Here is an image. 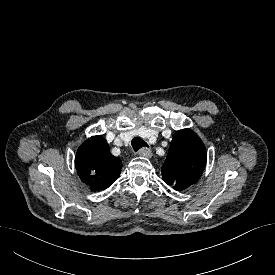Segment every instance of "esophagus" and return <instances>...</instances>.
<instances>
[{
  "label": "esophagus",
  "instance_id": "obj_1",
  "mask_svg": "<svg viewBox=\"0 0 275 275\" xmlns=\"http://www.w3.org/2000/svg\"><path fill=\"white\" fill-rule=\"evenodd\" d=\"M139 155L141 157L150 158L152 156V151L148 147H143V148L140 149Z\"/></svg>",
  "mask_w": 275,
  "mask_h": 275
}]
</instances>
